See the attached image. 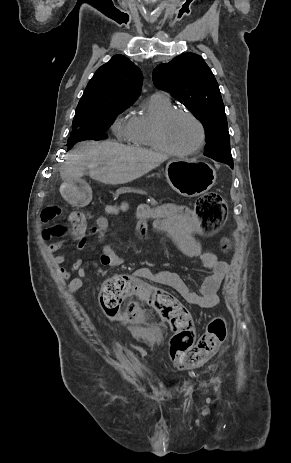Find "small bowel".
<instances>
[{
	"instance_id": "c3829d8e",
	"label": "small bowel",
	"mask_w": 291,
	"mask_h": 463,
	"mask_svg": "<svg viewBox=\"0 0 291 463\" xmlns=\"http://www.w3.org/2000/svg\"><path fill=\"white\" fill-rule=\"evenodd\" d=\"M155 219V216L151 219H144L141 216L137 229L139 237H146L148 222L153 220L154 226L167 233L176 242L184 255L200 259L206 274L197 290L192 289L178 274L170 270L153 271L148 268H139L133 272V275L137 278L169 287L187 302L200 308H213L217 306L219 303L217 292L227 277L229 271L228 264L218 260L215 254L202 251L200 244L195 238L196 231L189 226H156ZM109 228L110 223L108 219L106 217H99L96 220L95 226L91 229V234L96 237L101 264L111 268H118L124 264V260L101 240ZM141 243L146 244L147 240L142 239ZM84 245L85 233L77 237L75 248L76 250H82ZM61 248L62 245L60 243H55L48 246V251L55 253ZM67 261L68 257L65 255L54 256L52 259V262L57 265V275L62 279L69 280L68 291L70 294L75 295L85 286L88 271L81 259L73 260L70 268L63 266Z\"/></svg>"
}]
</instances>
